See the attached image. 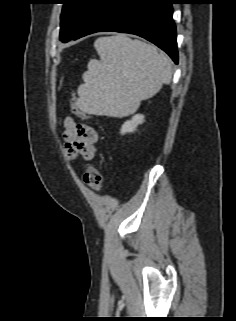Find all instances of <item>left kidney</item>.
Listing matches in <instances>:
<instances>
[{
	"label": "left kidney",
	"instance_id": "5707ae66",
	"mask_svg": "<svg viewBox=\"0 0 236 321\" xmlns=\"http://www.w3.org/2000/svg\"><path fill=\"white\" fill-rule=\"evenodd\" d=\"M144 122V116L142 114L134 115L131 120L126 121L120 130L121 134L134 132L139 124Z\"/></svg>",
	"mask_w": 236,
	"mask_h": 321
}]
</instances>
